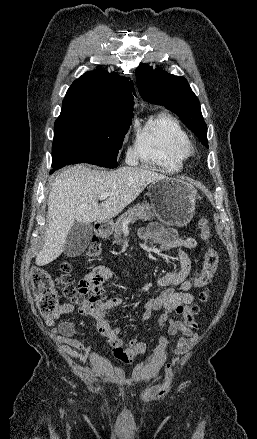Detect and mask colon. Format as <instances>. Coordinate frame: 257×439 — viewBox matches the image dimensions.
Listing matches in <instances>:
<instances>
[{
  "instance_id": "1",
  "label": "colon",
  "mask_w": 257,
  "mask_h": 439,
  "mask_svg": "<svg viewBox=\"0 0 257 439\" xmlns=\"http://www.w3.org/2000/svg\"><path fill=\"white\" fill-rule=\"evenodd\" d=\"M201 237L209 243L210 226L207 218L199 220ZM101 254V244L98 239H93L86 250L88 258H97ZM218 267V253L216 249L209 245L204 254V261L198 276V285H207ZM60 275L52 278L50 274L42 268H34L31 272L32 287L37 298L40 313L45 317L53 316L58 309L59 298L62 297L75 303L82 312L95 310L100 302L106 300L105 294H96L80 286H75L70 275L71 266L67 262L59 265ZM58 289L60 292H58ZM208 299V292L203 291L199 296V301L205 302ZM200 307L193 305L188 310L190 318L198 315Z\"/></svg>"
}]
</instances>
